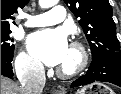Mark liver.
I'll use <instances>...</instances> for the list:
<instances>
[{
    "label": "liver",
    "instance_id": "6515ba94",
    "mask_svg": "<svg viewBox=\"0 0 121 94\" xmlns=\"http://www.w3.org/2000/svg\"><path fill=\"white\" fill-rule=\"evenodd\" d=\"M1 94H21V89L15 82L1 75Z\"/></svg>",
    "mask_w": 121,
    "mask_h": 94
}]
</instances>
